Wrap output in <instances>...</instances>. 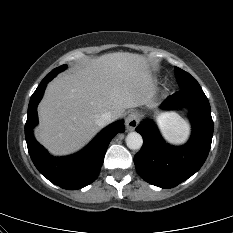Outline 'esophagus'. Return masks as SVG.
<instances>
[{
    "mask_svg": "<svg viewBox=\"0 0 233 233\" xmlns=\"http://www.w3.org/2000/svg\"><path fill=\"white\" fill-rule=\"evenodd\" d=\"M139 123V115L136 112H130L126 118V127L128 130H134Z\"/></svg>",
    "mask_w": 233,
    "mask_h": 233,
    "instance_id": "1",
    "label": "esophagus"
}]
</instances>
